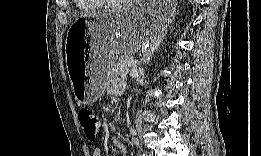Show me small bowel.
I'll return each instance as SVG.
<instances>
[{
  "label": "small bowel",
  "mask_w": 261,
  "mask_h": 156,
  "mask_svg": "<svg viewBox=\"0 0 261 156\" xmlns=\"http://www.w3.org/2000/svg\"><path fill=\"white\" fill-rule=\"evenodd\" d=\"M123 89V83L121 81L113 80L108 84L107 91L110 95H117L119 94ZM113 145L117 149L119 155L126 156L127 155V146L125 143L120 142L117 139L112 140ZM93 156H101V149L99 147L95 148L93 153Z\"/></svg>",
  "instance_id": "obj_1"
}]
</instances>
